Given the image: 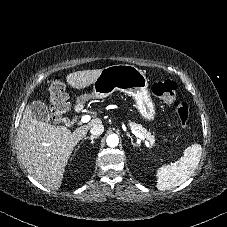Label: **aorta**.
<instances>
[{
    "label": "aorta",
    "mask_w": 227,
    "mask_h": 227,
    "mask_svg": "<svg viewBox=\"0 0 227 227\" xmlns=\"http://www.w3.org/2000/svg\"><path fill=\"white\" fill-rule=\"evenodd\" d=\"M106 142H107V145H108L109 147H115V146H117L118 143H119V138H118V136H117L116 134H110V135L107 137Z\"/></svg>",
    "instance_id": "obj_1"
}]
</instances>
